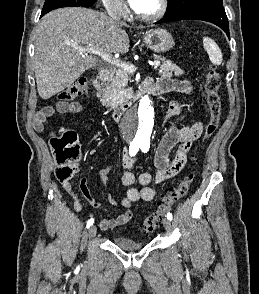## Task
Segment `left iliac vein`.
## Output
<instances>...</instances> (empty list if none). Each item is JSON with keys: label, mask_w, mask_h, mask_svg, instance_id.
Segmentation results:
<instances>
[{"label": "left iliac vein", "mask_w": 259, "mask_h": 294, "mask_svg": "<svg viewBox=\"0 0 259 294\" xmlns=\"http://www.w3.org/2000/svg\"><path fill=\"white\" fill-rule=\"evenodd\" d=\"M163 226L166 231H171L172 230V223L168 218L163 219Z\"/></svg>", "instance_id": "1"}]
</instances>
